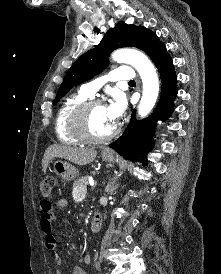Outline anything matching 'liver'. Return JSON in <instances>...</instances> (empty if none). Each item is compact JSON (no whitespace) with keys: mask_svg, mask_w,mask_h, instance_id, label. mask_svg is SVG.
<instances>
[{"mask_svg":"<svg viewBox=\"0 0 221 274\" xmlns=\"http://www.w3.org/2000/svg\"><path fill=\"white\" fill-rule=\"evenodd\" d=\"M97 151L93 148H76L62 145H52L45 151L42 160V170L46 173L50 159L54 157L66 159L72 163L83 166L94 161Z\"/></svg>","mask_w":221,"mask_h":274,"instance_id":"obj_1","label":"liver"}]
</instances>
